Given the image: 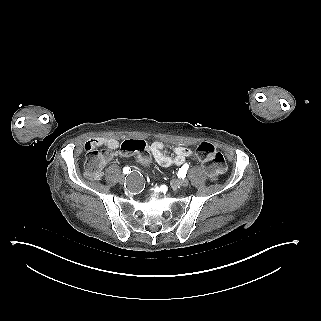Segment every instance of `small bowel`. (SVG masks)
Here are the masks:
<instances>
[{
    "label": "small bowel",
    "mask_w": 321,
    "mask_h": 321,
    "mask_svg": "<svg viewBox=\"0 0 321 321\" xmlns=\"http://www.w3.org/2000/svg\"><path fill=\"white\" fill-rule=\"evenodd\" d=\"M98 146H105L106 151L104 152L103 165L109 161L112 157L118 155H126L122 151L119 152L117 149L120 146V143L115 138L111 137H93L85 143V149H94ZM170 148L173 152L172 155L165 153V149ZM150 153L153 156L154 160L164 166L168 167L171 165H183L192 155L193 152L191 149L183 146H168L163 142H154L150 146ZM103 167V166H102ZM102 170V169H101ZM102 171L94 178L101 176Z\"/></svg>",
    "instance_id": "c3829d8e"
}]
</instances>
